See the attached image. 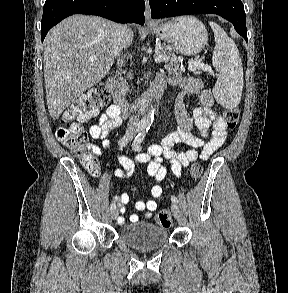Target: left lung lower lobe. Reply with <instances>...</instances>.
Segmentation results:
<instances>
[{"label":"left lung lower lobe","mask_w":288,"mask_h":293,"mask_svg":"<svg viewBox=\"0 0 288 293\" xmlns=\"http://www.w3.org/2000/svg\"><path fill=\"white\" fill-rule=\"evenodd\" d=\"M154 19L188 14H217L230 21L246 40L247 29L241 0H149Z\"/></svg>","instance_id":"obj_1"}]
</instances>
